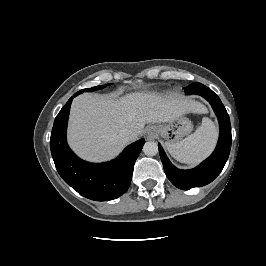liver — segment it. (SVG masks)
<instances>
[{"label": "liver", "instance_id": "6515ba94", "mask_svg": "<svg viewBox=\"0 0 266 266\" xmlns=\"http://www.w3.org/2000/svg\"><path fill=\"white\" fill-rule=\"evenodd\" d=\"M203 106L189 99L164 98L135 92L119 99L84 93L71 106L68 140L72 149L90 161L108 160L125 145L118 134L131 132L138 139L146 123H164L186 113H202Z\"/></svg>", "mask_w": 266, "mask_h": 266}]
</instances>
